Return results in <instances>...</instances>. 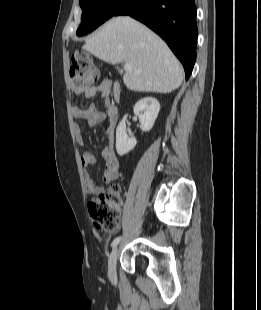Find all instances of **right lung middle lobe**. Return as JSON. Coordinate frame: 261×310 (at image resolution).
Here are the masks:
<instances>
[{"label":"right lung middle lobe","mask_w":261,"mask_h":310,"mask_svg":"<svg viewBox=\"0 0 261 310\" xmlns=\"http://www.w3.org/2000/svg\"><path fill=\"white\" fill-rule=\"evenodd\" d=\"M128 0H80L82 8L81 24L77 35L90 33L106 20L115 15L116 11Z\"/></svg>","instance_id":"1"}]
</instances>
